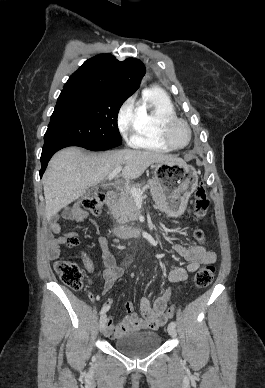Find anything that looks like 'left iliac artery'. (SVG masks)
<instances>
[{"instance_id":"left-iliac-artery-1","label":"left iliac artery","mask_w":265,"mask_h":388,"mask_svg":"<svg viewBox=\"0 0 265 388\" xmlns=\"http://www.w3.org/2000/svg\"><path fill=\"white\" fill-rule=\"evenodd\" d=\"M170 325L173 327H176V322L172 321V322H170Z\"/></svg>"}]
</instances>
